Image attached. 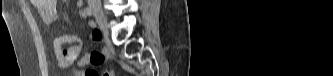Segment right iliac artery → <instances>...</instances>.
<instances>
[{
	"mask_svg": "<svg viewBox=\"0 0 333 76\" xmlns=\"http://www.w3.org/2000/svg\"><path fill=\"white\" fill-rule=\"evenodd\" d=\"M85 12H86L87 15L92 16V10H91L90 7L85 8Z\"/></svg>",
	"mask_w": 333,
	"mask_h": 76,
	"instance_id": "right-iliac-artery-1",
	"label": "right iliac artery"
}]
</instances>
